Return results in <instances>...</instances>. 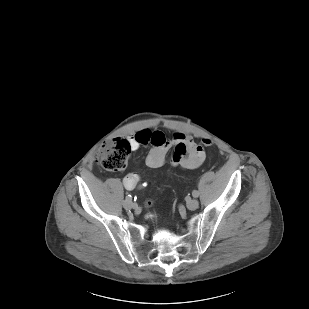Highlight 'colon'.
<instances>
[{
	"mask_svg": "<svg viewBox=\"0 0 309 309\" xmlns=\"http://www.w3.org/2000/svg\"><path fill=\"white\" fill-rule=\"evenodd\" d=\"M211 144V140H203L204 146L208 147L211 146ZM130 153V142L126 139H117L103 144L96 154V160L99 166L104 170L118 172L126 168Z\"/></svg>",
	"mask_w": 309,
	"mask_h": 309,
	"instance_id": "1",
	"label": "colon"
}]
</instances>
